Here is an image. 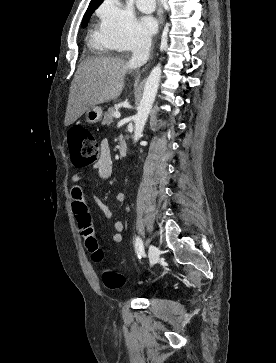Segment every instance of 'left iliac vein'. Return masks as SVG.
<instances>
[{"mask_svg":"<svg viewBox=\"0 0 276 363\" xmlns=\"http://www.w3.org/2000/svg\"><path fill=\"white\" fill-rule=\"evenodd\" d=\"M148 254H149L150 264L151 265L155 264L158 261V258H159L158 248L156 246H154V245H149Z\"/></svg>","mask_w":276,"mask_h":363,"instance_id":"1","label":"left iliac vein"}]
</instances>
